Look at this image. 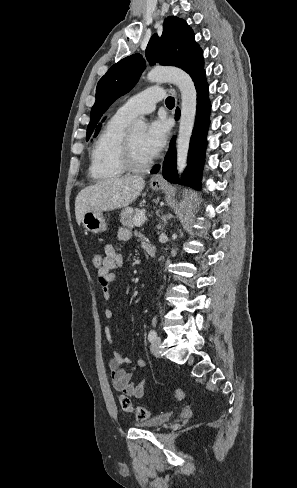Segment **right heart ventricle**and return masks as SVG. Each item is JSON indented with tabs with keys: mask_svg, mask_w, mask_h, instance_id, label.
<instances>
[{
	"mask_svg": "<svg viewBox=\"0 0 297 488\" xmlns=\"http://www.w3.org/2000/svg\"><path fill=\"white\" fill-rule=\"evenodd\" d=\"M129 122L115 114L98 134L90 153L89 173L94 180L111 181L125 174L121 156Z\"/></svg>",
	"mask_w": 297,
	"mask_h": 488,
	"instance_id": "right-heart-ventricle-1",
	"label": "right heart ventricle"
}]
</instances>
